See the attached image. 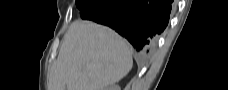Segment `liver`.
Instances as JSON below:
<instances>
[{"instance_id":"1","label":"liver","mask_w":228,"mask_h":90,"mask_svg":"<svg viewBox=\"0 0 228 90\" xmlns=\"http://www.w3.org/2000/svg\"><path fill=\"white\" fill-rule=\"evenodd\" d=\"M132 65L130 47L117 33L76 20L51 67L48 90H104L124 78Z\"/></svg>"}]
</instances>
